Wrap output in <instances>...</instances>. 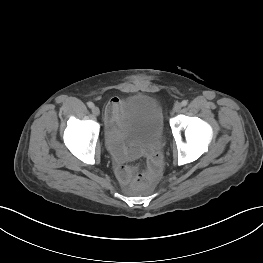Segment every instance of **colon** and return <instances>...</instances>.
Segmentation results:
<instances>
[{
  "mask_svg": "<svg viewBox=\"0 0 263 263\" xmlns=\"http://www.w3.org/2000/svg\"><path fill=\"white\" fill-rule=\"evenodd\" d=\"M160 171V159H153L149 162L147 171L138 175L136 183L139 186H149L153 183L159 175Z\"/></svg>",
  "mask_w": 263,
  "mask_h": 263,
  "instance_id": "5ec220e1",
  "label": "colon"
}]
</instances>
